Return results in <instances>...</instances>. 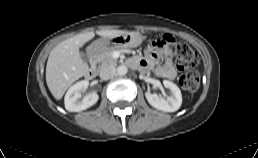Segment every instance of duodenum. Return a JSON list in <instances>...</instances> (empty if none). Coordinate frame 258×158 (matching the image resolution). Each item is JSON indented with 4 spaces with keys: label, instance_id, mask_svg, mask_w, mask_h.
I'll use <instances>...</instances> for the list:
<instances>
[{
    "label": "duodenum",
    "instance_id": "1",
    "mask_svg": "<svg viewBox=\"0 0 258 158\" xmlns=\"http://www.w3.org/2000/svg\"><path fill=\"white\" fill-rule=\"evenodd\" d=\"M101 48L99 46H95L90 54V66L86 72V77L88 79H93L97 75V67L96 62L100 56ZM135 68V67H134Z\"/></svg>",
    "mask_w": 258,
    "mask_h": 158
}]
</instances>
